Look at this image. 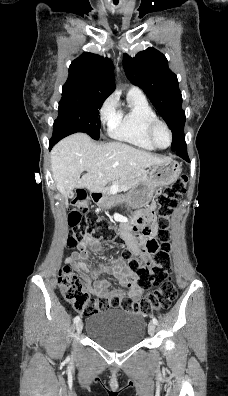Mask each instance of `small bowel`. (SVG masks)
<instances>
[{"instance_id": "1", "label": "small bowel", "mask_w": 228, "mask_h": 396, "mask_svg": "<svg viewBox=\"0 0 228 396\" xmlns=\"http://www.w3.org/2000/svg\"><path fill=\"white\" fill-rule=\"evenodd\" d=\"M155 204L151 203L143 212L150 213L154 210ZM155 220L152 223V231H156ZM121 238L125 241L128 250L137 256H144L150 260L152 254L145 252L134 239L130 231L127 220H124L119 230ZM100 241L93 234H89L87 240L78 245V249L65 259V264L70 265L74 270L80 273L87 284L88 291L93 295L104 297L121 296L125 294L122 288L110 289V283L107 279L99 278L101 272H106L114 276L120 284L135 298L142 294V289L137 283L125 272V263L121 261H110L109 264L99 263L94 269H91L87 261L91 258V253L100 251Z\"/></svg>"}]
</instances>
